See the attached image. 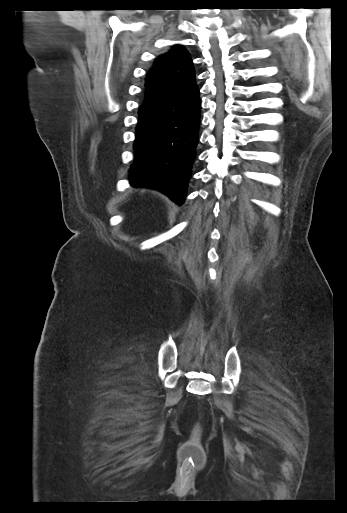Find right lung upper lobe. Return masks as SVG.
I'll list each match as a JSON object with an SVG mask.
<instances>
[{
	"label": "right lung upper lobe",
	"instance_id": "obj_1",
	"mask_svg": "<svg viewBox=\"0 0 347 513\" xmlns=\"http://www.w3.org/2000/svg\"><path fill=\"white\" fill-rule=\"evenodd\" d=\"M195 84L191 57L181 45L155 59L146 79V99L162 98L178 93Z\"/></svg>",
	"mask_w": 347,
	"mask_h": 513
}]
</instances>
